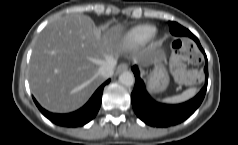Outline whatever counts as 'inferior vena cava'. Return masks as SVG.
Listing matches in <instances>:
<instances>
[{
    "mask_svg": "<svg viewBox=\"0 0 238 145\" xmlns=\"http://www.w3.org/2000/svg\"><path fill=\"white\" fill-rule=\"evenodd\" d=\"M116 63L115 62H108L105 63L104 65H102L99 70L98 73L103 76L104 78H108L111 77L114 74V67H115Z\"/></svg>",
    "mask_w": 238,
    "mask_h": 145,
    "instance_id": "obj_1",
    "label": "inferior vena cava"
}]
</instances>
